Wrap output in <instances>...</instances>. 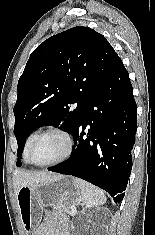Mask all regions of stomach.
I'll return each mask as SVG.
<instances>
[{
    "instance_id": "0dacf381",
    "label": "stomach",
    "mask_w": 155,
    "mask_h": 235,
    "mask_svg": "<svg viewBox=\"0 0 155 235\" xmlns=\"http://www.w3.org/2000/svg\"><path fill=\"white\" fill-rule=\"evenodd\" d=\"M16 198L21 223L27 234L38 229L44 207L69 208L82 201L80 189L70 176H60L45 184L22 186Z\"/></svg>"
}]
</instances>
